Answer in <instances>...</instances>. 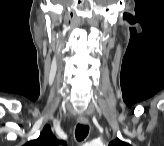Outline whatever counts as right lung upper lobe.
I'll return each mask as SVG.
<instances>
[{
	"label": "right lung upper lobe",
	"mask_w": 164,
	"mask_h": 146,
	"mask_svg": "<svg viewBox=\"0 0 164 146\" xmlns=\"http://www.w3.org/2000/svg\"><path fill=\"white\" fill-rule=\"evenodd\" d=\"M65 144L64 141H58L51 132V129L46 125L40 134L39 138L26 143V146H57Z\"/></svg>",
	"instance_id": "obj_1"
}]
</instances>
